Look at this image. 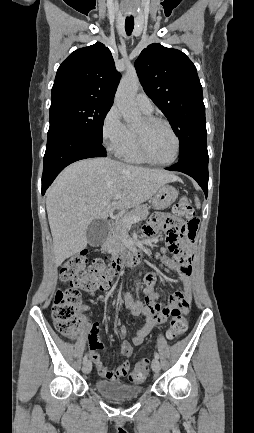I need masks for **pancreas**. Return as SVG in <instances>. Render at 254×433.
Masks as SVG:
<instances>
[{
    "label": "pancreas",
    "instance_id": "1",
    "mask_svg": "<svg viewBox=\"0 0 254 433\" xmlns=\"http://www.w3.org/2000/svg\"><path fill=\"white\" fill-rule=\"evenodd\" d=\"M149 215V207L147 205H137L132 210L124 213L123 217L137 216L139 221L145 220ZM123 217L117 219L113 224L112 234L108 239L110 247H120L122 240L127 236L128 225L123 221Z\"/></svg>",
    "mask_w": 254,
    "mask_h": 433
}]
</instances>
